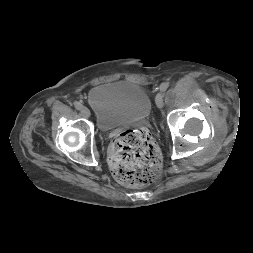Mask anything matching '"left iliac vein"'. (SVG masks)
<instances>
[{
	"label": "left iliac vein",
	"instance_id": "obj_1",
	"mask_svg": "<svg viewBox=\"0 0 253 253\" xmlns=\"http://www.w3.org/2000/svg\"><path fill=\"white\" fill-rule=\"evenodd\" d=\"M163 96L161 93H158L156 95V105L159 109H161L163 107Z\"/></svg>",
	"mask_w": 253,
	"mask_h": 253
}]
</instances>
